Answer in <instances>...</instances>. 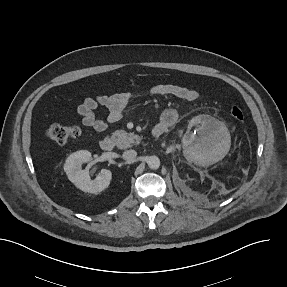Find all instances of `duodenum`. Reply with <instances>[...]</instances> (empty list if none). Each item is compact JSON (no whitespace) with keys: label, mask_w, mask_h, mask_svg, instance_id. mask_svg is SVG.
<instances>
[{"label":"duodenum","mask_w":287,"mask_h":287,"mask_svg":"<svg viewBox=\"0 0 287 287\" xmlns=\"http://www.w3.org/2000/svg\"><path fill=\"white\" fill-rule=\"evenodd\" d=\"M163 133H164V129L161 125L154 127L152 130V135L155 138L161 136ZM100 147L103 151L110 152L114 149L115 142L112 138L105 137L101 140Z\"/></svg>","instance_id":"obj_1"}]
</instances>
